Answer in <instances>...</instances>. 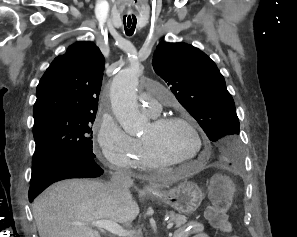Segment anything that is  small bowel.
Wrapping results in <instances>:
<instances>
[{"mask_svg":"<svg viewBox=\"0 0 297 237\" xmlns=\"http://www.w3.org/2000/svg\"><path fill=\"white\" fill-rule=\"evenodd\" d=\"M209 237L204 232L203 225L198 221H191L187 225L179 228L174 237Z\"/></svg>","mask_w":297,"mask_h":237,"instance_id":"c3829d8e","label":"small bowel"}]
</instances>
